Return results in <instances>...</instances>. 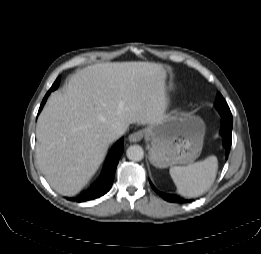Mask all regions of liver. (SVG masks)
<instances>
[{
    "label": "liver",
    "mask_w": 261,
    "mask_h": 254,
    "mask_svg": "<svg viewBox=\"0 0 261 254\" xmlns=\"http://www.w3.org/2000/svg\"><path fill=\"white\" fill-rule=\"evenodd\" d=\"M161 65L109 62L73 74L63 92L53 93L38 122L36 159L59 194L79 193L107 152V134L130 124H152L164 107Z\"/></svg>",
    "instance_id": "1"
}]
</instances>
